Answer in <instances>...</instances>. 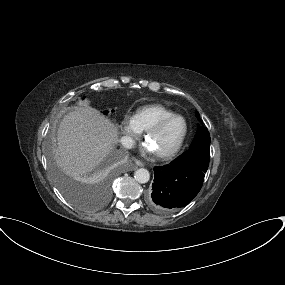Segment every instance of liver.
I'll list each match as a JSON object with an SVG mask.
<instances>
[{
  "label": "liver",
  "instance_id": "1",
  "mask_svg": "<svg viewBox=\"0 0 285 285\" xmlns=\"http://www.w3.org/2000/svg\"><path fill=\"white\" fill-rule=\"evenodd\" d=\"M118 142L117 127L95 109L77 106L67 113L57 131L55 158L75 179L92 171Z\"/></svg>",
  "mask_w": 285,
  "mask_h": 285
}]
</instances>
